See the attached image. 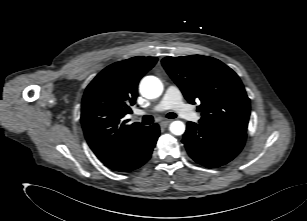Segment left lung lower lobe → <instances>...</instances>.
Instances as JSON below:
<instances>
[{
	"instance_id": "obj_1",
	"label": "left lung lower lobe",
	"mask_w": 307,
	"mask_h": 221,
	"mask_svg": "<svg viewBox=\"0 0 307 221\" xmlns=\"http://www.w3.org/2000/svg\"><path fill=\"white\" fill-rule=\"evenodd\" d=\"M183 136L190 157L207 168H217L233 160L246 141V132L194 122L187 123Z\"/></svg>"
}]
</instances>
